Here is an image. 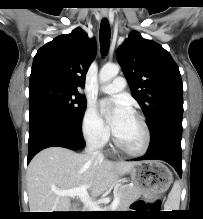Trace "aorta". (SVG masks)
I'll return each mask as SVG.
<instances>
[{
  "label": "aorta",
  "mask_w": 203,
  "mask_h": 219,
  "mask_svg": "<svg viewBox=\"0 0 203 219\" xmlns=\"http://www.w3.org/2000/svg\"><path fill=\"white\" fill-rule=\"evenodd\" d=\"M120 67L117 64L104 65L99 73V81L101 83H107L116 77L119 73Z\"/></svg>",
  "instance_id": "762f6f07"
}]
</instances>
